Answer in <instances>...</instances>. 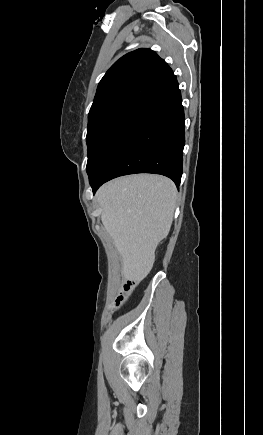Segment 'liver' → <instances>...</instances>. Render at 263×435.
<instances>
[{"label":"liver","mask_w":263,"mask_h":435,"mask_svg":"<svg viewBox=\"0 0 263 435\" xmlns=\"http://www.w3.org/2000/svg\"><path fill=\"white\" fill-rule=\"evenodd\" d=\"M176 198L169 178L151 174L117 178L98 190L101 220L122 258L125 279L139 283L151 271L155 250L170 231Z\"/></svg>","instance_id":"6515ba94"}]
</instances>
